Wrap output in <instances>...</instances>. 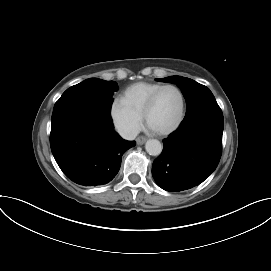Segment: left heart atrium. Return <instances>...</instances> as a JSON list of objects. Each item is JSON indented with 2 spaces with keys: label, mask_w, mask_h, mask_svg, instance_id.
<instances>
[{
  "label": "left heart atrium",
  "mask_w": 271,
  "mask_h": 271,
  "mask_svg": "<svg viewBox=\"0 0 271 271\" xmlns=\"http://www.w3.org/2000/svg\"><path fill=\"white\" fill-rule=\"evenodd\" d=\"M149 128L152 129V130H154L150 125H149Z\"/></svg>",
  "instance_id": "1"
}]
</instances>
